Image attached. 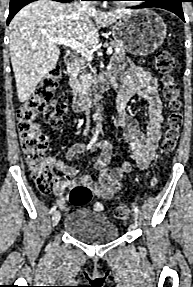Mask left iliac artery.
Wrapping results in <instances>:
<instances>
[{
  "mask_svg": "<svg viewBox=\"0 0 193 287\" xmlns=\"http://www.w3.org/2000/svg\"><path fill=\"white\" fill-rule=\"evenodd\" d=\"M133 209H134V212H135V213H137V214L139 213V209H138L136 206H134Z\"/></svg>",
  "mask_w": 193,
  "mask_h": 287,
  "instance_id": "44dca946",
  "label": "left iliac artery"
}]
</instances>
